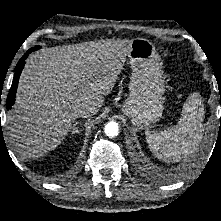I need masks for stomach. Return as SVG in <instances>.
I'll use <instances>...</instances> for the list:
<instances>
[{"instance_id": "0dacf381", "label": "stomach", "mask_w": 221, "mask_h": 221, "mask_svg": "<svg viewBox=\"0 0 221 221\" xmlns=\"http://www.w3.org/2000/svg\"><path fill=\"white\" fill-rule=\"evenodd\" d=\"M132 69L130 95L122 112L139 128H148L163 113L165 92L161 58L152 42L145 38L132 40L128 52Z\"/></svg>"}]
</instances>
